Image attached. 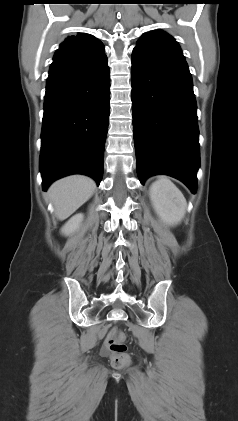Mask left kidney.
I'll list each match as a JSON object with an SVG mask.
<instances>
[{
    "label": "left kidney",
    "instance_id": "left-kidney-1",
    "mask_svg": "<svg viewBox=\"0 0 238 421\" xmlns=\"http://www.w3.org/2000/svg\"><path fill=\"white\" fill-rule=\"evenodd\" d=\"M150 198L156 214L167 225L181 222L187 203L181 191L167 178L161 177L150 187Z\"/></svg>",
    "mask_w": 238,
    "mask_h": 421
}]
</instances>
